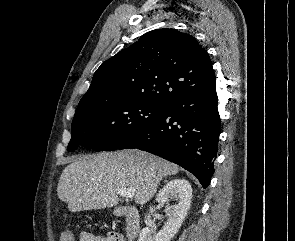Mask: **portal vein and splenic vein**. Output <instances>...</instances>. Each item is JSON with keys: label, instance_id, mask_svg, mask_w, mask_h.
I'll list each match as a JSON object with an SVG mask.
<instances>
[{"label": "portal vein and splenic vein", "instance_id": "18ae733b", "mask_svg": "<svg viewBox=\"0 0 295 241\" xmlns=\"http://www.w3.org/2000/svg\"><path fill=\"white\" fill-rule=\"evenodd\" d=\"M136 190L134 188H119L117 194L127 199L134 197Z\"/></svg>", "mask_w": 295, "mask_h": 241}]
</instances>
